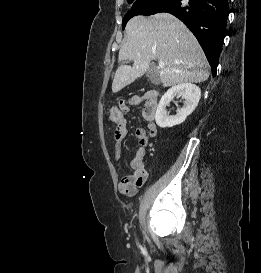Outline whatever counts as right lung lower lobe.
<instances>
[{
    "label": "right lung lower lobe",
    "mask_w": 261,
    "mask_h": 273,
    "mask_svg": "<svg viewBox=\"0 0 261 273\" xmlns=\"http://www.w3.org/2000/svg\"><path fill=\"white\" fill-rule=\"evenodd\" d=\"M159 12L173 14L192 31L214 76L226 33L228 0H161L144 7L140 15Z\"/></svg>",
    "instance_id": "98d812e1"
}]
</instances>
